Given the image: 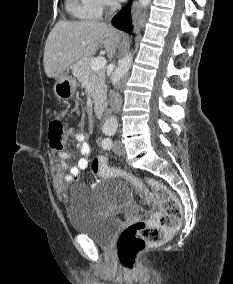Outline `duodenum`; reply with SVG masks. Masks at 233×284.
<instances>
[{"label":"duodenum","instance_id":"1","mask_svg":"<svg viewBox=\"0 0 233 284\" xmlns=\"http://www.w3.org/2000/svg\"><path fill=\"white\" fill-rule=\"evenodd\" d=\"M105 105L104 104H97L94 108L95 114L98 118H101L104 113Z\"/></svg>","mask_w":233,"mask_h":284}]
</instances>
